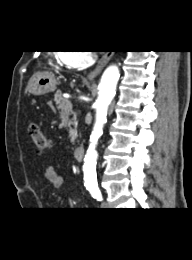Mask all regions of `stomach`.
Masks as SVG:
<instances>
[{
	"mask_svg": "<svg viewBox=\"0 0 192 260\" xmlns=\"http://www.w3.org/2000/svg\"><path fill=\"white\" fill-rule=\"evenodd\" d=\"M58 82L52 74L40 73L31 77L28 91L33 95H44L53 92Z\"/></svg>",
	"mask_w": 192,
	"mask_h": 260,
	"instance_id": "1",
	"label": "stomach"
}]
</instances>
